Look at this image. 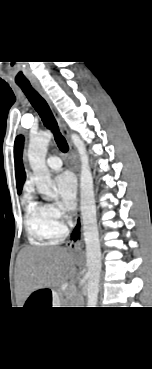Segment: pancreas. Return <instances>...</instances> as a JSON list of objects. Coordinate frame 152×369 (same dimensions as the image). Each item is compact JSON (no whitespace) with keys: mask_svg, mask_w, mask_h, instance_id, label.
<instances>
[{"mask_svg":"<svg viewBox=\"0 0 152 369\" xmlns=\"http://www.w3.org/2000/svg\"><path fill=\"white\" fill-rule=\"evenodd\" d=\"M73 296H74L73 293H68V298H73L74 299Z\"/></svg>","mask_w":152,"mask_h":369,"instance_id":"cf45deb5","label":"pancreas"}]
</instances>
